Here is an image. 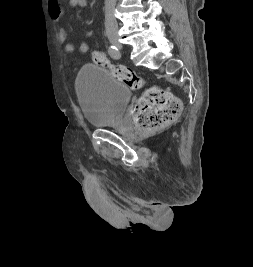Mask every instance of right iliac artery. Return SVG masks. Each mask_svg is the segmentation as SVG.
I'll list each match as a JSON object with an SVG mask.
<instances>
[{
    "label": "right iliac artery",
    "instance_id": "right-iliac-artery-1",
    "mask_svg": "<svg viewBox=\"0 0 253 267\" xmlns=\"http://www.w3.org/2000/svg\"><path fill=\"white\" fill-rule=\"evenodd\" d=\"M108 53L113 59H120L121 58V53L118 50V48L114 45H110L108 47Z\"/></svg>",
    "mask_w": 253,
    "mask_h": 267
}]
</instances>
